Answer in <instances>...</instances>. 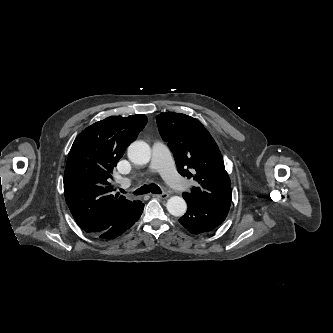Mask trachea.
I'll list each match as a JSON object with an SVG mask.
<instances>
[{
	"mask_svg": "<svg viewBox=\"0 0 333 333\" xmlns=\"http://www.w3.org/2000/svg\"><path fill=\"white\" fill-rule=\"evenodd\" d=\"M122 192L124 193V190H122ZM149 192L154 194H162L160 187L154 183L149 185H143L139 189L135 190L133 193L135 195H142V194H147Z\"/></svg>",
	"mask_w": 333,
	"mask_h": 333,
	"instance_id": "3493384b",
	"label": "trachea"
}]
</instances>
